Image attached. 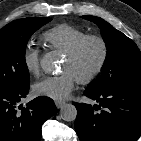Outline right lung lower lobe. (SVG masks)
<instances>
[{
	"mask_svg": "<svg viewBox=\"0 0 141 141\" xmlns=\"http://www.w3.org/2000/svg\"><path fill=\"white\" fill-rule=\"evenodd\" d=\"M29 92V85L0 91V141H40L42 124L57 108L49 97L40 96L22 108L18 103ZM20 110V111H19Z\"/></svg>",
	"mask_w": 141,
	"mask_h": 141,
	"instance_id": "obj_1",
	"label": "right lung lower lobe"
}]
</instances>
